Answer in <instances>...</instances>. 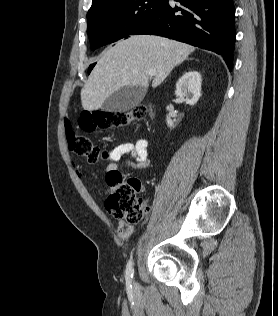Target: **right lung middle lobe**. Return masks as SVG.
Returning <instances> with one entry per match:
<instances>
[{"label":"right lung middle lobe","mask_w":278,"mask_h":316,"mask_svg":"<svg viewBox=\"0 0 278 316\" xmlns=\"http://www.w3.org/2000/svg\"><path fill=\"white\" fill-rule=\"evenodd\" d=\"M164 0H108L87 13V33L95 49L131 35L147 21ZM91 69H89L90 72Z\"/></svg>","instance_id":"right-lung-middle-lobe-1"}]
</instances>
